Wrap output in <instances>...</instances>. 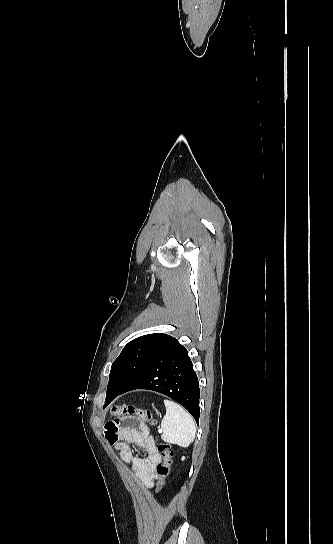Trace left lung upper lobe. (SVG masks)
I'll use <instances>...</instances> for the list:
<instances>
[{"label":"left lung upper lobe","instance_id":"left-lung-upper-lobe-1","mask_svg":"<svg viewBox=\"0 0 333 544\" xmlns=\"http://www.w3.org/2000/svg\"><path fill=\"white\" fill-rule=\"evenodd\" d=\"M171 339L169 335L155 333L140 336L129 342L111 366L107 393L122 389Z\"/></svg>","mask_w":333,"mask_h":544}]
</instances>
